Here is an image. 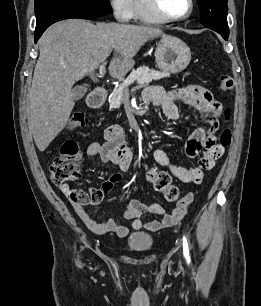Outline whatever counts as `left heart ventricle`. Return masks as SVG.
<instances>
[{
	"label": "left heart ventricle",
	"instance_id": "b2bd125f",
	"mask_svg": "<svg viewBox=\"0 0 261 306\" xmlns=\"http://www.w3.org/2000/svg\"><path fill=\"white\" fill-rule=\"evenodd\" d=\"M162 11L170 17L186 14L189 9L188 0H158Z\"/></svg>",
	"mask_w": 261,
	"mask_h": 306
}]
</instances>
